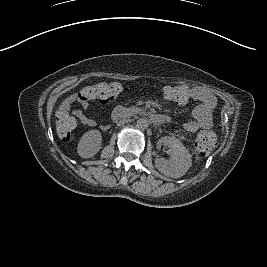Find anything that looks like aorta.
Instances as JSON below:
<instances>
[{
	"label": "aorta",
	"instance_id": "1",
	"mask_svg": "<svg viewBox=\"0 0 267 267\" xmlns=\"http://www.w3.org/2000/svg\"><path fill=\"white\" fill-rule=\"evenodd\" d=\"M148 120L145 119V118H139L136 122V127L139 129V130H145L148 128Z\"/></svg>",
	"mask_w": 267,
	"mask_h": 267
}]
</instances>
